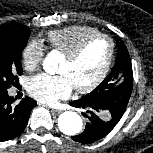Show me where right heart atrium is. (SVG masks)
I'll return each mask as SVG.
<instances>
[{"instance_id":"d8ad5b80","label":"right heart atrium","mask_w":153,"mask_h":153,"mask_svg":"<svg viewBox=\"0 0 153 153\" xmlns=\"http://www.w3.org/2000/svg\"><path fill=\"white\" fill-rule=\"evenodd\" d=\"M45 48L36 39L30 40L22 50V60L27 70H35L42 63Z\"/></svg>"}]
</instances>
